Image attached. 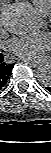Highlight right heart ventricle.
Instances as JSON below:
<instances>
[{
  "mask_svg": "<svg viewBox=\"0 0 51 153\" xmlns=\"http://www.w3.org/2000/svg\"><path fill=\"white\" fill-rule=\"evenodd\" d=\"M37 12L45 17L51 13V0H32Z\"/></svg>",
  "mask_w": 51,
  "mask_h": 153,
  "instance_id": "right-heart-ventricle-1",
  "label": "right heart ventricle"
}]
</instances>
